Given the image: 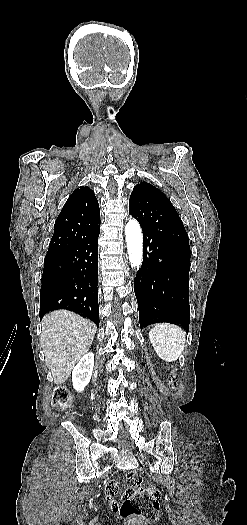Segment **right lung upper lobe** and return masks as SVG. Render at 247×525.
I'll return each instance as SVG.
<instances>
[{
  "label": "right lung upper lobe",
  "instance_id": "right-lung-upper-lobe-1",
  "mask_svg": "<svg viewBox=\"0 0 247 525\" xmlns=\"http://www.w3.org/2000/svg\"><path fill=\"white\" fill-rule=\"evenodd\" d=\"M100 229V210L94 192L77 188L63 206L54 225L46 256L56 255Z\"/></svg>",
  "mask_w": 247,
  "mask_h": 525
}]
</instances>
